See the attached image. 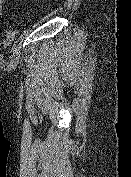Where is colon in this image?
I'll return each mask as SVG.
<instances>
[{
    "instance_id": "1",
    "label": "colon",
    "mask_w": 131,
    "mask_h": 177,
    "mask_svg": "<svg viewBox=\"0 0 131 177\" xmlns=\"http://www.w3.org/2000/svg\"><path fill=\"white\" fill-rule=\"evenodd\" d=\"M17 34H18V30L16 28L9 29L6 32V34L2 37V40H1V43H0V47L2 49H6L9 46H11L12 43L14 42Z\"/></svg>"
}]
</instances>
